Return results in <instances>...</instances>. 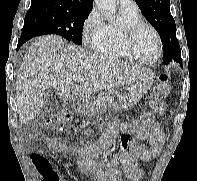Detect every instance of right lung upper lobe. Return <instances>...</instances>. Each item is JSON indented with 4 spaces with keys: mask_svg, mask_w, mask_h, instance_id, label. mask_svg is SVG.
Instances as JSON below:
<instances>
[{
    "mask_svg": "<svg viewBox=\"0 0 197 181\" xmlns=\"http://www.w3.org/2000/svg\"><path fill=\"white\" fill-rule=\"evenodd\" d=\"M93 0H31L29 10L48 9L67 12L91 11Z\"/></svg>",
    "mask_w": 197,
    "mask_h": 181,
    "instance_id": "right-lung-upper-lobe-1",
    "label": "right lung upper lobe"
}]
</instances>
